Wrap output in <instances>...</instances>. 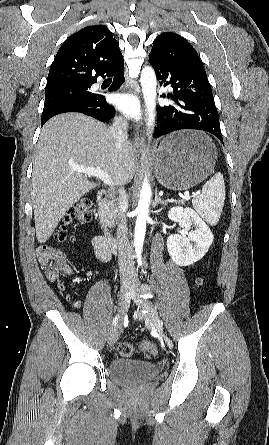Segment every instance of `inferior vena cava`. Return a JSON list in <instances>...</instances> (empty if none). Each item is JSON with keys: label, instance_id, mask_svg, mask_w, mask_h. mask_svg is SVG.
<instances>
[{"label": "inferior vena cava", "instance_id": "obj_1", "mask_svg": "<svg viewBox=\"0 0 269 445\" xmlns=\"http://www.w3.org/2000/svg\"><path fill=\"white\" fill-rule=\"evenodd\" d=\"M128 122L124 118H116L110 132L115 141V147L117 150L121 148L123 143L127 141L128 138ZM124 184H120L119 189V201L120 203L125 199L126 194L123 187ZM117 241L119 250V268L120 276L122 280H135L137 277L135 267H134V257L132 255L131 246L128 239V229L126 224V219L123 213L120 212V218L117 230Z\"/></svg>", "mask_w": 269, "mask_h": 445}]
</instances>
